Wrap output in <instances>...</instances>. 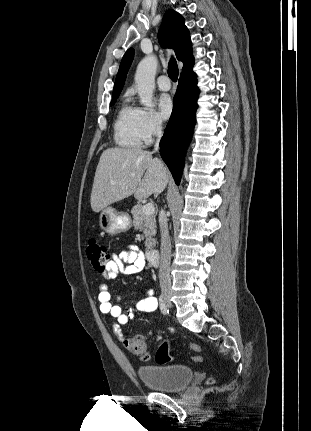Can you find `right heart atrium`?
I'll list each match as a JSON object with an SVG mask.
<instances>
[{
    "mask_svg": "<svg viewBox=\"0 0 311 431\" xmlns=\"http://www.w3.org/2000/svg\"><path fill=\"white\" fill-rule=\"evenodd\" d=\"M139 110L145 132L144 142L150 143L162 135L164 122L162 117L153 109L144 108Z\"/></svg>",
    "mask_w": 311,
    "mask_h": 431,
    "instance_id": "1",
    "label": "right heart atrium"
}]
</instances>
